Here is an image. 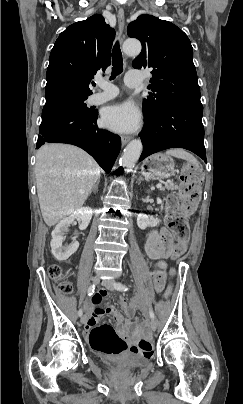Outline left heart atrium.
<instances>
[{
    "mask_svg": "<svg viewBox=\"0 0 243 404\" xmlns=\"http://www.w3.org/2000/svg\"><path fill=\"white\" fill-rule=\"evenodd\" d=\"M104 125L116 132H133L140 124V113L130 102H119L104 108Z\"/></svg>",
    "mask_w": 243,
    "mask_h": 404,
    "instance_id": "obj_1",
    "label": "left heart atrium"
}]
</instances>
